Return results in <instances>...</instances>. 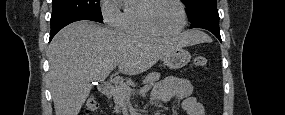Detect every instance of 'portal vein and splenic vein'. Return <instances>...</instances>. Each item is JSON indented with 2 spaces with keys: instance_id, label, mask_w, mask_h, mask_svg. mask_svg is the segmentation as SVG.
I'll return each instance as SVG.
<instances>
[{
  "instance_id": "18ae733b",
  "label": "portal vein and splenic vein",
  "mask_w": 285,
  "mask_h": 115,
  "mask_svg": "<svg viewBox=\"0 0 285 115\" xmlns=\"http://www.w3.org/2000/svg\"><path fill=\"white\" fill-rule=\"evenodd\" d=\"M148 89H149V87L146 85V86H144V87L141 89V91H142V92H146Z\"/></svg>"
}]
</instances>
